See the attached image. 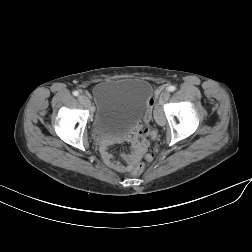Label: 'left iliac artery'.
Instances as JSON below:
<instances>
[{
    "mask_svg": "<svg viewBox=\"0 0 252 252\" xmlns=\"http://www.w3.org/2000/svg\"><path fill=\"white\" fill-rule=\"evenodd\" d=\"M175 90H176V87L173 86V85H171V86L168 87V91H170V92H173Z\"/></svg>",
    "mask_w": 252,
    "mask_h": 252,
    "instance_id": "left-iliac-artery-1",
    "label": "left iliac artery"
}]
</instances>
